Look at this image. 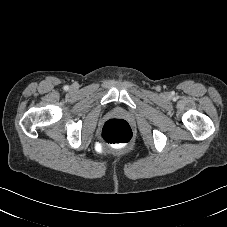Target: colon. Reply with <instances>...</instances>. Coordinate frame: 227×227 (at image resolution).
I'll use <instances>...</instances> for the list:
<instances>
[{"instance_id": "5ec220e1", "label": "colon", "mask_w": 227, "mask_h": 227, "mask_svg": "<svg viewBox=\"0 0 227 227\" xmlns=\"http://www.w3.org/2000/svg\"><path fill=\"white\" fill-rule=\"evenodd\" d=\"M100 139L106 143H128L132 139V129L124 120H108L100 131Z\"/></svg>"}]
</instances>
